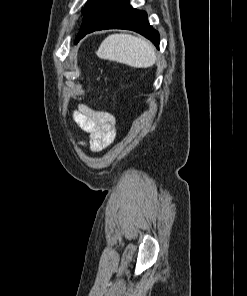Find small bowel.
<instances>
[{
    "label": "small bowel",
    "mask_w": 247,
    "mask_h": 296,
    "mask_svg": "<svg viewBox=\"0 0 247 296\" xmlns=\"http://www.w3.org/2000/svg\"><path fill=\"white\" fill-rule=\"evenodd\" d=\"M73 119L78 127L89 134V140H78L77 144L89 147L98 152L107 147L115 138L116 123L112 114L94 110L84 104H79L73 113Z\"/></svg>",
    "instance_id": "obj_1"
}]
</instances>
